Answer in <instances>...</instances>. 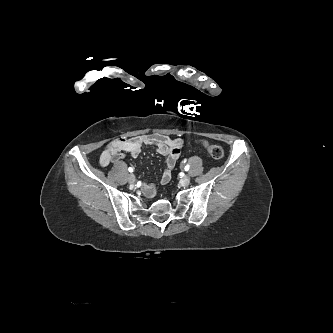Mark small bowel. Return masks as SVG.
<instances>
[{
  "mask_svg": "<svg viewBox=\"0 0 333 333\" xmlns=\"http://www.w3.org/2000/svg\"><path fill=\"white\" fill-rule=\"evenodd\" d=\"M144 146H153L158 153L166 158V168L160 176V183L167 184L171 180L172 170L175 167L184 146L181 138H171L161 133H151L133 138H119L108 143L102 150L99 163L106 167L112 163L120 161L125 153L132 157H137ZM142 189L148 197L156 194V186L146 182Z\"/></svg>",
  "mask_w": 333,
  "mask_h": 333,
  "instance_id": "c3829d8e",
  "label": "small bowel"
}]
</instances>
